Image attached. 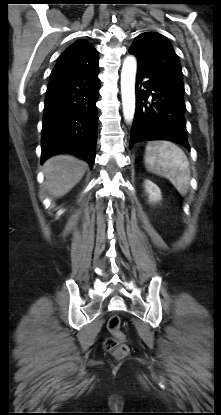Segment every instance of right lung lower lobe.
<instances>
[{
  "label": "right lung lower lobe",
  "mask_w": 221,
  "mask_h": 415,
  "mask_svg": "<svg viewBox=\"0 0 221 415\" xmlns=\"http://www.w3.org/2000/svg\"><path fill=\"white\" fill-rule=\"evenodd\" d=\"M99 69L50 78L44 102L42 162L74 154L93 167L97 139Z\"/></svg>",
  "instance_id": "1"
}]
</instances>
